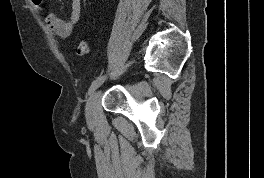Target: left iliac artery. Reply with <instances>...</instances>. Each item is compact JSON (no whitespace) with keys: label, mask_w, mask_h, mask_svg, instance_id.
Returning a JSON list of instances; mask_svg holds the SVG:
<instances>
[{"label":"left iliac artery","mask_w":264,"mask_h":178,"mask_svg":"<svg viewBox=\"0 0 264 178\" xmlns=\"http://www.w3.org/2000/svg\"><path fill=\"white\" fill-rule=\"evenodd\" d=\"M105 77V75H102L92 82L89 88V94H91L99 85H101V83L105 80Z\"/></svg>","instance_id":"44dca946"}]
</instances>
